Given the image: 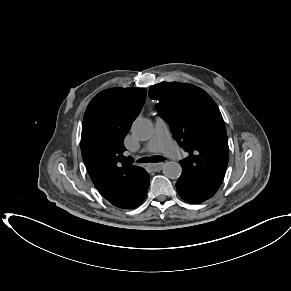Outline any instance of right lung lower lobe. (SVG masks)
I'll list each match as a JSON object with an SVG mask.
<instances>
[{
	"label": "right lung lower lobe",
	"instance_id": "98d812e1",
	"mask_svg": "<svg viewBox=\"0 0 291 291\" xmlns=\"http://www.w3.org/2000/svg\"><path fill=\"white\" fill-rule=\"evenodd\" d=\"M144 182L145 183H144V185H142L143 187L141 188L140 195L137 198L131 200L129 203H118L117 202L113 205L116 207H119V208H123V209H134V208L138 207L144 201V199L146 198V195H147V190L149 187V174L148 173L145 176Z\"/></svg>",
	"mask_w": 291,
	"mask_h": 291
}]
</instances>
